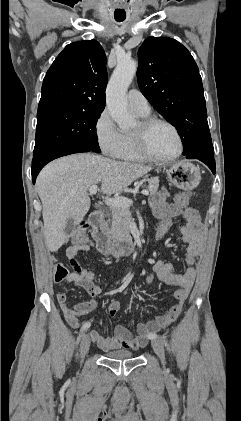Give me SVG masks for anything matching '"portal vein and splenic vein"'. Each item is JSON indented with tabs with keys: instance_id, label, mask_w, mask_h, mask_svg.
<instances>
[{
	"instance_id": "1",
	"label": "portal vein and splenic vein",
	"mask_w": 241,
	"mask_h": 421,
	"mask_svg": "<svg viewBox=\"0 0 241 421\" xmlns=\"http://www.w3.org/2000/svg\"><path fill=\"white\" fill-rule=\"evenodd\" d=\"M98 186L92 185L89 188L90 195H94L97 193ZM141 194L147 196L149 192L147 190H143ZM105 204L112 208H119V207H129L133 204V201L126 197H116V198H106Z\"/></svg>"
}]
</instances>
